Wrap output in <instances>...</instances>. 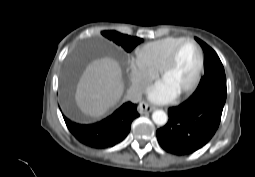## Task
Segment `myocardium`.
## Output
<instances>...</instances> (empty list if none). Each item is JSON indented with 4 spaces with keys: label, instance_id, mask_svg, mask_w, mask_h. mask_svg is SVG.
<instances>
[{
    "label": "myocardium",
    "instance_id": "myocardium-1",
    "mask_svg": "<svg viewBox=\"0 0 255 177\" xmlns=\"http://www.w3.org/2000/svg\"><path fill=\"white\" fill-rule=\"evenodd\" d=\"M188 43L193 44L196 47V49L198 50L199 66H198V69H197V72H196V75H195L193 81L187 87H185L183 90H181L177 93L179 96H183V95H187V94L191 93L198 86V84L201 81L203 70H204V52H203L201 46L195 40H193L191 38H185L183 41H181L179 44H177L175 46L170 57L168 58L166 63L163 65V67L160 69V76L163 79L165 77V75L175 65L180 49L185 44H188Z\"/></svg>",
    "mask_w": 255,
    "mask_h": 177
}]
</instances>
